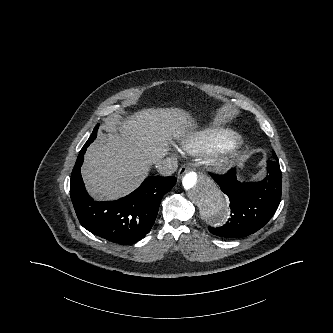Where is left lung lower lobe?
Wrapping results in <instances>:
<instances>
[{"mask_svg": "<svg viewBox=\"0 0 333 333\" xmlns=\"http://www.w3.org/2000/svg\"><path fill=\"white\" fill-rule=\"evenodd\" d=\"M267 170L268 176L257 183L239 182L235 169L225 175H212L229 197L231 217L222 227H209L211 233L228 238L245 237L272 218L281 200L282 175L278 160L268 161Z\"/></svg>", "mask_w": 333, "mask_h": 333, "instance_id": "1", "label": "left lung lower lobe"}]
</instances>
